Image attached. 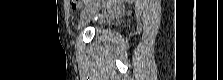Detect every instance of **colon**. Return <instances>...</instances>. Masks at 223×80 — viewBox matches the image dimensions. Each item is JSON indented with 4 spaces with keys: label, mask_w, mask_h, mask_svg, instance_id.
<instances>
[{
    "label": "colon",
    "mask_w": 223,
    "mask_h": 80,
    "mask_svg": "<svg viewBox=\"0 0 223 80\" xmlns=\"http://www.w3.org/2000/svg\"><path fill=\"white\" fill-rule=\"evenodd\" d=\"M70 3H71V7L73 9H80L83 6L84 1L83 0H71ZM108 3L110 5L117 6L121 3V1L120 0H112V1H109Z\"/></svg>",
    "instance_id": "colon-1"
}]
</instances>
